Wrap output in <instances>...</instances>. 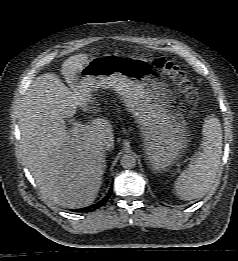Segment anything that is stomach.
<instances>
[{"label": "stomach", "mask_w": 238, "mask_h": 261, "mask_svg": "<svg viewBox=\"0 0 238 261\" xmlns=\"http://www.w3.org/2000/svg\"><path fill=\"white\" fill-rule=\"evenodd\" d=\"M75 86L90 96L98 88L114 90L139 124L152 168L161 172L181 155L188 142L181 107L169 86L150 67L117 55L89 60L77 73Z\"/></svg>", "instance_id": "1"}]
</instances>
